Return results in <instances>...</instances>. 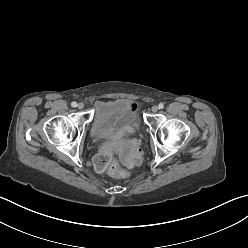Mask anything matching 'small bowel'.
Wrapping results in <instances>:
<instances>
[{"label":"small bowel","instance_id":"1","mask_svg":"<svg viewBox=\"0 0 248 248\" xmlns=\"http://www.w3.org/2000/svg\"><path fill=\"white\" fill-rule=\"evenodd\" d=\"M121 154L128 165H134L141 159V148L137 142L128 141L127 145L121 149Z\"/></svg>","mask_w":248,"mask_h":248}]
</instances>
